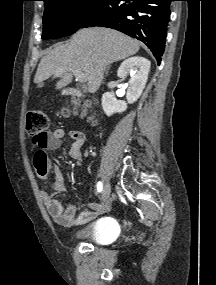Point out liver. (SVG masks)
<instances>
[{
    "mask_svg": "<svg viewBox=\"0 0 216 285\" xmlns=\"http://www.w3.org/2000/svg\"><path fill=\"white\" fill-rule=\"evenodd\" d=\"M137 40L107 28H87L56 46L44 56L37 68L34 82L41 88L44 81L62 72L56 89L72 82L75 71L86 74L88 92L95 93L102 84L105 68L138 52Z\"/></svg>",
    "mask_w": 216,
    "mask_h": 285,
    "instance_id": "1",
    "label": "liver"
}]
</instances>
